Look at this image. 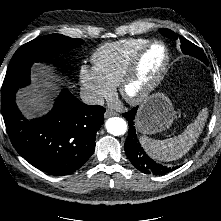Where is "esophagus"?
Instances as JSON below:
<instances>
[{
    "label": "esophagus",
    "instance_id": "esophagus-1",
    "mask_svg": "<svg viewBox=\"0 0 221 221\" xmlns=\"http://www.w3.org/2000/svg\"><path fill=\"white\" fill-rule=\"evenodd\" d=\"M115 115H117V113L112 110H106V112L104 114L105 118H109V117L115 116Z\"/></svg>",
    "mask_w": 221,
    "mask_h": 221
}]
</instances>
